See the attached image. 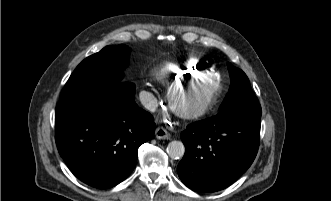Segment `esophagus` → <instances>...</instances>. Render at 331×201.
Wrapping results in <instances>:
<instances>
[{
  "label": "esophagus",
  "mask_w": 331,
  "mask_h": 201,
  "mask_svg": "<svg viewBox=\"0 0 331 201\" xmlns=\"http://www.w3.org/2000/svg\"><path fill=\"white\" fill-rule=\"evenodd\" d=\"M157 139H169L170 133L164 127H158L155 131Z\"/></svg>",
  "instance_id": "1"
}]
</instances>
